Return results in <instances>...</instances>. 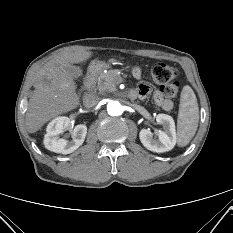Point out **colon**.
<instances>
[{
	"label": "colon",
	"mask_w": 233,
	"mask_h": 233,
	"mask_svg": "<svg viewBox=\"0 0 233 233\" xmlns=\"http://www.w3.org/2000/svg\"><path fill=\"white\" fill-rule=\"evenodd\" d=\"M152 78L162 86V93L167 98H175L179 92V83L176 81L177 70L165 63H155L152 66Z\"/></svg>",
	"instance_id": "1"
}]
</instances>
